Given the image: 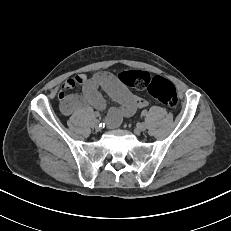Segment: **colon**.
I'll return each mask as SVG.
<instances>
[{
	"instance_id": "5ec220e1",
	"label": "colon",
	"mask_w": 231,
	"mask_h": 231,
	"mask_svg": "<svg viewBox=\"0 0 231 231\" xmlns=\"http://www.w3.org/2000/svg\"><path fill=\"white\" fill-rule=\"evenodd\" d=\"M119 80L126 86L144 90L163 105L174 108L178 103L175 86L167 79L155 76L151 77L145 71L131 70L119 74Z\"/></svg>"
}]
</instances>
